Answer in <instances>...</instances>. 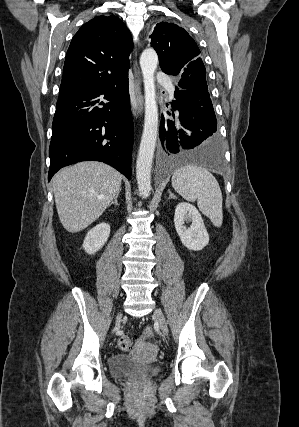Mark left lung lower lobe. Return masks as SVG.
Instances as JSON below:
<instances>
[{
    "label": "left lung lower lobe",
    "mask_w": 299,
    "mask_h": 427,
    "mask_svg": "<svg viewBox=\"0 0 299 427\" xmlns=\"http://www.w3.org/2000/svg\"><path fill=\"white\" fill-rule=\"evenodd\" d=\"M167 112L162 116L159 131L165 161H186L209 168L222 165L221 142L212 102L179 86Z\"/></svg>",
    "instance_id": "obj_1"
}]
</instances>
